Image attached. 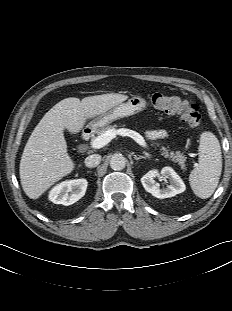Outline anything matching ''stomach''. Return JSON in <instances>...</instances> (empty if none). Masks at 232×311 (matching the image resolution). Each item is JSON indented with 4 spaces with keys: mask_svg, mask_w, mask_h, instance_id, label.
<instances>
[{
    "mask_svg": "<svg viewBox=\"0 0 232 311\" xmlns=\"http://www.w3.org/2000/svg\"><path fill=\"white\" fill-rule=\"evenodd\" d=\"M146 107V100L140 96H134L124 103L113 107L106 113L96 117L86 126L92 132H98L102 128L108 126L113 121L134 115L142 111Z\"/></svg>",
    "mask_w": 232,
    "mask_h": 311,
    "instance_id": "0dacf381",
    "label": "stomach"
}]
</instances>
